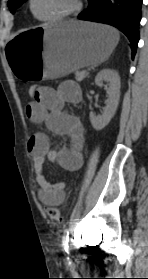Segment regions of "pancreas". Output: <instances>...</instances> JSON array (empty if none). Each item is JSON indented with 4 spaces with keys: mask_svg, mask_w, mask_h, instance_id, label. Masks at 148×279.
<instances>
[{
    "mask_svg": "<svg viewBox=\"0 0 148 279\" xmlns=\"http://www.w3.org/2000/svg\"><path fill=\"white\" fill-rule=\"evenodd\" d=\"M81 73L82 72H79V71L75 72V79L79 82L85 78V77H81Z\"/></svg>",
    "mask_w": 148,
    "mask_h": 279,
    "instance_id": "pancreas-1",
    "label": "pancreas"
}]
</instances>
